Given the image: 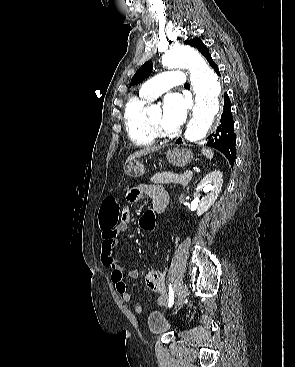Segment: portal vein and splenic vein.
I'll list each match as a JSON object with an SVG mask.
<instances>
[{"label":"portal vein and splenic vein","mask_w":295,"mask_h":367,"mask_svg":"<svg viewBox=\"0 0 295 367\" xmlns=\"http://www.w3.org/2000/svg\"><path fill=\"white\" fill-rule=\"evenodd\" d=\"M183 175H185V176H192L193 175V171H191V170L186 171Z\"/></svg>","instance_id":"18ae733b"}]
</instances>
